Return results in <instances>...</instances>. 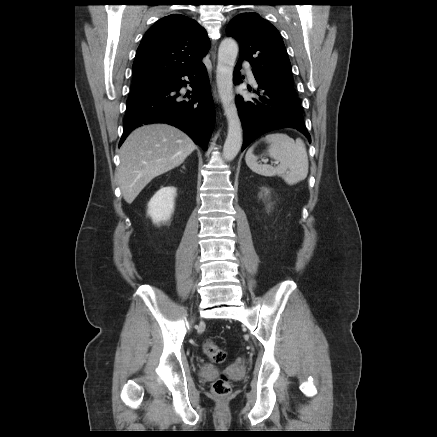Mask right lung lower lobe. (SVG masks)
<instances>
[{"label":"right lung lower lobe","instance_id":"98d812e1","mask_svg":"<svg viewBox=\"0 0 437 437\" xmlns=\"http://www.w3.org/2000/svg\"><path fill=\"white\" fill-rule=\"evenodd\" d=\"M184 76H188L190 82H186ZM187 83L192 90L185 94L180 89ZM214 118L207 71L200 62L171 76L159 87L129 97L119 146L136 127L167 123L184 131L195 144L206 150Z\"/></svg>","mask_w":437,"mask_h":437}]
</instances>
